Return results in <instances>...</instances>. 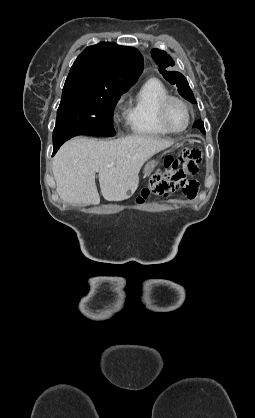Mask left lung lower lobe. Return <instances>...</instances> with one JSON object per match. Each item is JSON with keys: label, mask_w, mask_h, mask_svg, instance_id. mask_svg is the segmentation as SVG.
Returning <instances> with one entry per match:
<instances>
[{"label": "left lung lower lobe", "mask_w": 255, "mask_h": 418, "mask_svg": "<svg viewBox=\"0 0 255 418\" xmlns=\"http://www.w3.org/2000/svg\"><path fill=\"white\" fill-rule=\"evenodd\" d=\"M193 127H197V128H199V129H204L203 122H202L201 120H197V121L194 123Z\"/></svg>", "instance_id": "left-lung-lower-lobe-1"}]
</instances>
